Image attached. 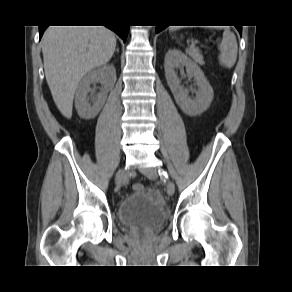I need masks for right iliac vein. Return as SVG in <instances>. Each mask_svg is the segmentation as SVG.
<instances>
[{"label": "right iliac vein", "instance_id": "right-iliac-vein-1", "mask_svg": "<svg viewBox=\"0 0 292 292\" xmlns=\"http://www.w3.org/2000/svg\"><path fill=\"white\" fill-rule=\"evenodd\" d=\"M126 182H127L126 170L125 169L118 170V172L116 173V176H115L116 185H122V184H125Z\"/></svg>", "mask_w": 292, "mask_h": 292}]
</instances>
